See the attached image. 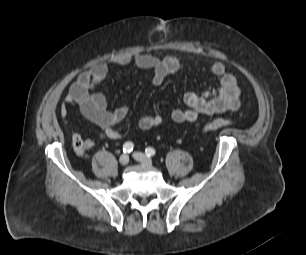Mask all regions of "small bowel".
<instances>
[{"label": "small bowel", "mask_w": 306, "mask_h": 255, "mask_svg": "<svg viewBox=\"0 0 306 255\" xmlns=\"http://www.w3.org/2000/svg\"><path fill=\"white\" fill-rule=\"evenodd\" d=\"M115 63L119 66H133L152 72L153 83L161 84L169 75L175 74L182 69V58L179 55L158 57L153 54L138 56H124L118 58ZM212 75L219 79L217 89L207 90L201 94L187 92L184 95L185 108H176L171 113V118L176 123H192L200 114H217L225 111H235L241 105V89L236 77L228 73L222 62H215L210 67ZM108 68L99 63L88 70L81 72L70 86L65 102L60 107V115L65 118L67 105H77L82 115L91 123L99 127L110 139H120L123 133L117 129L129 114L127 105L109 109L105 96L99 92H93L96 85L101 83L107 76ZM163 123L160 114H145L138 119V127L141 130H150ZM85 145L91 148L93 140L86 139Z\"/></svg>", "instance_id": "c3829d8e"}]
</instances>
